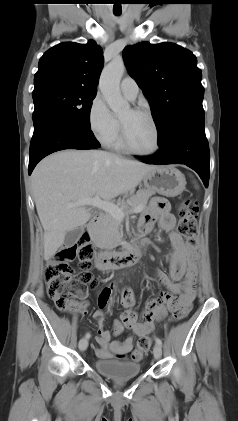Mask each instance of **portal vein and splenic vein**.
<instances>
[{
	"mask_svg": "<svg viewBox=\"0 0 238 421\" xmlns=\"http://www.w3.org/2000/svg\"><path fill=\"white\" fill-rule=\"evenodd\" d=\"M85 205H91L95 206L97 208H100L108 213H110L112 216L117 218L118 220H122L126 213H139L142 211L140 207H135L130 209L129 211H126L124 209L119 208L117 205L110 203L108 201L101 200L98 196L92 198V199H86V200H79L75 202L68 203L69 208H75V207H81Z\"/></svg>",
	"mask_w": 238,
	"mask_h": 421,
	"instance_id": "18ae733b",
	"label": "portal vein and splenic vein"
}]
</instances>
